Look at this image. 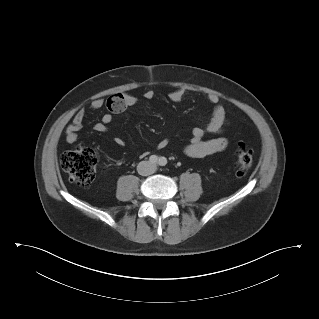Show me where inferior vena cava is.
Instances as JSON below:
<instances>
[{
    "label": "inferior vena cava",
    "instance_id": "602c4592",
    "mask_svg": "<svg viewBox=\"0 0 319 319\" xmlns=\"http://www.w3.org/2000/svg\"><path fill=\"white\" fill-rule=\"evenodd\" d=\"M137 171L142 176H148L154 173L155 168L149 161H141L137 166Z\"/></svg>",
    "mask_w": 319,
    "mask_h": 319
}]
</instances>
